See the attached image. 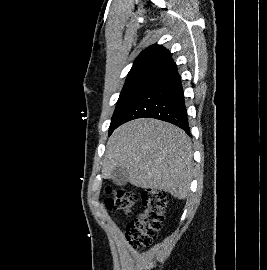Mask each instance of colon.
I'll list each match as a JSON object with an SVG mask.
<instances>
[{
  "mask_svg": "<svg viewBox=\"0 0 267 270\" xmlns=\"http://www.w3.org/2000/svg\"><path fill=\"white\" fill-rule=\"evenodd\" d=\"M138 197L124 190L107 189L105 206L116 212H131ZM166 208V194L161 190L148 189L142 194V208L126 226V239L136 248L149 246L162 228Z\"/></svg>",
  "mask_w": 267,
  "mask_h": 270,
  "instance_id": "colon-1",
  "label": "colon"
}]
</instances>
